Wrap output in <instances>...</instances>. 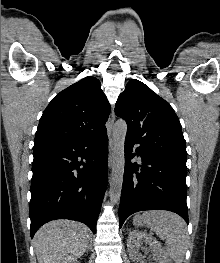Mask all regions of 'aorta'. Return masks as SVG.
<instances>
[{"mask_svg": "<svg viewBox=\"0 0 220 263\" xmlns=\"http://www.w3.org/2000/svg\"><path fill=\"white\" fill-rule=\"evenodd\" d=\"M127 124L124 120H118L113 126V164L110 181L109 196L112 203H118L121 196L124 166H125V137Z\"/></svg>", "mask_w": 220, "mask_h": 263, "instance_id": "aorta-1", "label": "aorta"}]
</instances>
